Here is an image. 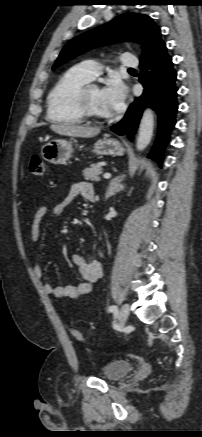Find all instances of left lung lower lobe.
<instances>
[{
  "instance_id": "0a47b994",
  "label": "left lung lower lobe",
  "mask_w": 202,
  "mask_h": 437,
  "mask_svg": "<svg viewBox=\"0 0 202 437\" xmlns=\"http://www.w3.org/2000/svg\"><path fill=\"white\" fill-rule=\"evenodd\" d=\"M139 81L144 87L143 94L128 108L124 118L111 127L118 135H127L131 140L136 132L144 108L151 107L158 115V133L149 158L162 166L163 148L168 142L175 125L178 109L176 77L172 57L167 53L166 44L160 45L147 59L140 62Z\"/></svg>"
}]
</instances>
